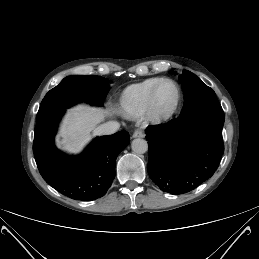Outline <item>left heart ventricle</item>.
<instances>
[{
  "label": "left heart ventricle",
  "instance_id": "obj_1",
  "mask_svg": "<svg viewBox=\"0 0 259 259\" xmlns=\"http://www.w3.org/2000/svg\"><path fill=\"white\" fill-rule=\"evenodd\" d=\"M176 100V90L170 83H164L160 86L157 96L156 104L159 110L167 111L172 108Z\"/></svg>",
  "mask_w": 259,
  "mask_h": 259
}]
</instances>
